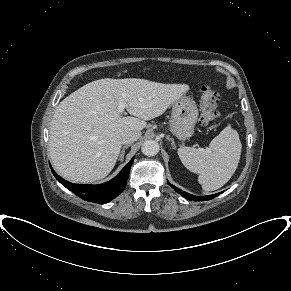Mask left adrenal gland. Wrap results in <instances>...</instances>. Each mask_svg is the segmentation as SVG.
Instances as JSON below:
<instances>
[{
    "label": "left adrenal gland",
    "mask_w": 291,
    "mask_h": 291,
    "mask_svg": "<svg viewBox=\"0 0 291 291\" xmlns=\"http://www.w3.org/2000/svg\"><path fill=\"white\" fill-rule=\"evenodd\" d=\"M167 140L171 141L172 148L176 149V145H175L174 139L169 137V136H167Z\"/></svg>",
    "instance_id": "1"
}]
</instances>
